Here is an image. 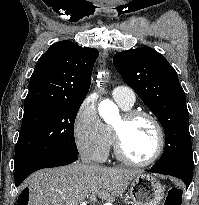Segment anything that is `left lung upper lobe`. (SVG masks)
I'll return each mask as SVG.
<instances>
[{
    "label": "left lung upper lobe",
    "mask_w": 199,
    "mask_h": 205,
    "mask_svg": "<svg viewBox=\"0 0 199 205\" xmlns=\"http://www.w3.org/2000/svg\"><path fill=\"white\" fill-rule=\"evenodd\" d=\"M113 63L122 79L159 119L166 145L154 168H177L193 175V152L185 93L175 69L150 47L116 53Z\"/></svg>",
    "instance_id": "5c2ea615"
}]
</instances>
